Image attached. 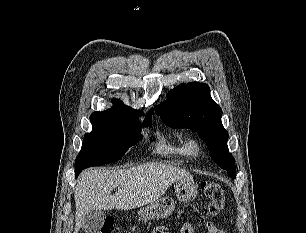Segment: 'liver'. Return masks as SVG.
<instances>
[{
    "instance_id": "1",
    "label": "liver",
    "mask_w": 306,
    "mask_h": 233,
    "mask_svg": "<svg viewBox=\"0 0 306 233\" xmlns=\"http://www.w3.org/2000/svg\"><path fill=\"white\" fill-rule=\"evenodd\" d=\"M189 172L161 163L123 170L101 168L84 171L75 188V229L78 233L92 210H130L152 203L177 180L191 179ZM118 188L114 195L111 192Z\"/></svg>"
}]
</instances>
